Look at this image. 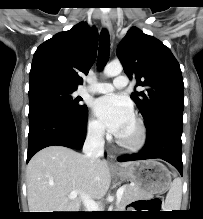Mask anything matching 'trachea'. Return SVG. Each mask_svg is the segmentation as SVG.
I'll return each mask as SVG.
<instances>
[{
  "label": "trachea",
  "mask_w": 203,
  "mask_h": 219,
  "mask_svg": "<svg viewBox=\"0 0 203 219\" xmlns=\"http://www.w3.org/2000/svg\"><path fill=\"white\" fill-rule=\"evenodd\" d=\"M110 54V37L109 33L106 29H103L100 34L99 39V52H98V60L97 66L98 69L101 70L106 65Z\"/></svg>",
  "instance_id": "3493384b"
}]
</instances>
